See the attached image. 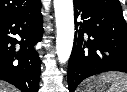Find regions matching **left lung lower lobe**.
I'll return each instance as SVG.
<instances>
[{"label":"left lung lower lobe","instance_id":"1","mask_svg":"<svg viewBox=\"0 0 127 92\" xmlns=\"http://www.w3.org/2000/svg\"><path fill=\"white\" fill-rule=\"evenodd\" d=\"M75 38L68 64L69 91L85 78L107 71L127 73V25L122 13L74 1Z\"/></svg>","mask_w":127,"mask_h":92}]
</instances>
